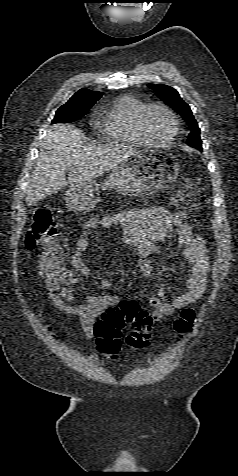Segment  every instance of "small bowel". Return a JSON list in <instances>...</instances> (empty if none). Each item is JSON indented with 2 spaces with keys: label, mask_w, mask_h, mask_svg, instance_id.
<instances>
[{
  "label": "small bowel",
  "mask_w": 238,
  "mask_h": 476,
  "mask_svg": "<svg viewBox=\"0 0 238 476\" xmlns=\"http://www.w3.org/2000/svg\"><path fill=\"white\" fill-rule=\"evenodd\" d=\"M183 212H171L162 208H129L116 214L103 217H92L82 224V234L76 243L70 264L76 273L68 272L72 278L70 283L50 285L47 288V298L59 311L78 317L85 337L90 340L96 336L95 327L101 315L109 308L118 305L122 299L116 294H88L81 302L70 289L78 277L87 278L89 269L84 262L92 232L100 228L119 227L124 240L137 248L138 263L142 273L151 277L152 263L150 256L157 252L160 242L173 232L182 246V254L189 266L185 290L176 296L172 302L163 300L164 287L160 286L157 294L149 298L153 310L150 314L152 323L164 317L171 316L178 309L199 300L203 295L209 274L208 255L203 239L196 236L191 227L184 222ZM103 291H108L112 284L108 279L99 283Z\"/></svg>",
  "instance_id": "1"
}]
</instances>
